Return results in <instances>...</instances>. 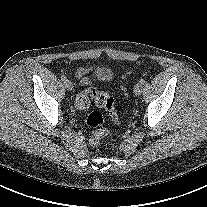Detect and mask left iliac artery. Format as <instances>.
Returning a JSON list of instances; mask_svg holds the SVG:
<instances>
[{"mask_svg": "<svg viewBox=\"0 0 207 207\" xmlns=\"http://www.w3.org/2000/svg\"><path fill=\"white\" fill-rule=\"evenodd\" d=\"M139 83L143 85L145 83V80L144 79H140Z\"/></svg>", "mask_w": 207, "mask_h": 207, "instance_id": "left-iliac-artery-1", "label": "left iliac artery"}]
</instances>
